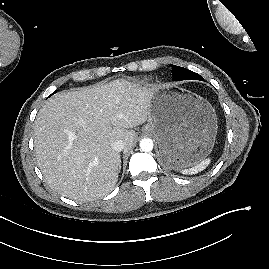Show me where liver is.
<instances>
[{
    "label": "liver",
    "mask_w": 269,
    "mask_h": 269,
    "mask_svg": "<svg viewBox=\"0 0 269 269\" xmlns=\"http://www.w3.org/2000/svg\"><path fill=\"white\" fill-rule=\"evenodd\" d=\"M154 89L118 79L50 98L34 122L37 163L48 185L79 202L111 192L121 169L111 144L134 145L133 128L147 120Z\"/></svg>",
    "instance_id": "liver-1"
}]
</instances>
